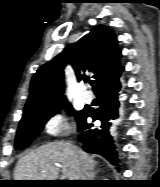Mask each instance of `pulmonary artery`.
<instances>
[{"instance_id":"obj_1","label":"pulmonary artery","mask_w":160,"mask_h":187,"mask_svg":"<svg viewBox=\"0 0 160 187\" xmlns=\"http://www.w3.org/2000/svg\"><path fill=\"white\" fill-rule=\"evenodd\" d=\"M81 98L84 103H91L92 102V95L90 93L82 94Z\"/></svg>"}]
</instances>
